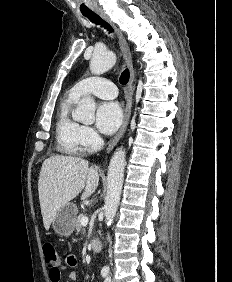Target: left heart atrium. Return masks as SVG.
Returning a JSON list of instances; mask_svg holds the SVG:
<instances>
[{"label":"left heart atrium","instance_id":"obj_1","mask_svg":"<svg viewBox=\"0 0 232 282\" xmlns=\"http://www.w3.org/2000/svg\"><path fill=\"white\" fill-rule=\"evenodd\" d=\"M123 114L117 102H104L96 112L97 128L104 134L114 133L122 122Z\"/></svg>","mask_w":232,"mask_h":282}]
</instances>
